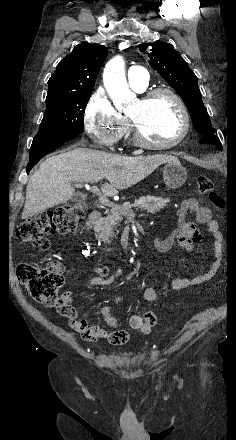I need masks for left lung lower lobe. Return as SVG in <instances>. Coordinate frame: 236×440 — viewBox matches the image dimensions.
Listing matches in <instances>:
<instances>
[{
	"instance_id": "obj_1",
	"label": "left lung lower lobe",
	"mask_w": 236,
	"mask_h": 440,
	"mask_svg": "<svg viewBox=\"0 0 236 440\" xmlns=\"http://www.w3.org/2000/svg\"><path fill=\"white\" fill-rule=\"evenodd\" d=\"M200 143H209L215 145L220 151L222 150L221 143L214 133L202 136Z\"/></svg>"
}]
</instances>
